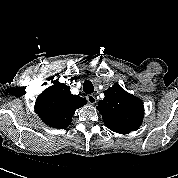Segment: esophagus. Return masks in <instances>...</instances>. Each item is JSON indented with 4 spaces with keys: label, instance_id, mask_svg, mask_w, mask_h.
Returning <instances> with one entry per match:
<instances>
[{
    "label": "esophagus",
    "instance_id": "34e87169",
    "mask_svg": "<svg viewBox=\"0 0 178 178\" xmlns=\"http://www.w3.org/2000/svg\"><path fill=\"white\" fill-rule=\"evenodd\" d=\"M86 99L92 105H94L96 103V97L93 94L87 95Z\"/></svg>",
    "mask_w": 178,
    "mask_h": 178
}]
</instances>
